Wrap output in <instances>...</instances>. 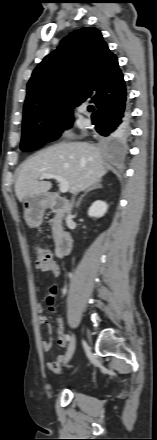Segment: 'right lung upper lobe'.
I'll return each instance as SVG.
<instances>
[{"mask_svg":"<svg viewBox=\"0 0 157 440\" xmlns=\"http://www.w3.org/2000/svg\"><path fill=\"white\" fill-rule=\"evenodd\" d=\"M126 95L117 57L100 31L83 27L71 32L35 68L27 85L23 126L72 121L73 108L84 102L96 110Z\"/></svg>","mask_w":157,"mask_h":440,"instance_id":"1","label":"right lung upper lobe"}]
</instances>
